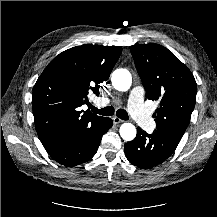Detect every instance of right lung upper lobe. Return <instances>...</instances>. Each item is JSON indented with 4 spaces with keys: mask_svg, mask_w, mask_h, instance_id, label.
<instances>
[{
    "mask_svg": "<svg viewBox=\"0 0 217 217\" xmlns=\"http://www.w3.org/2000/svg\"><path fill=\"white\" fill-rule=\"evenodd\" d=\"M120 46L86 44L56 56L34 85L32 107L37 134L43 146L79 135L103 117L80 106L88 94H99L117 62Z\"/></svg>",
    "mask_w": 217,
    "mask_h": 217,
    "instance_id": "cb5924a9",
    "label": "right lung upper lobe"
}]
</instances>
